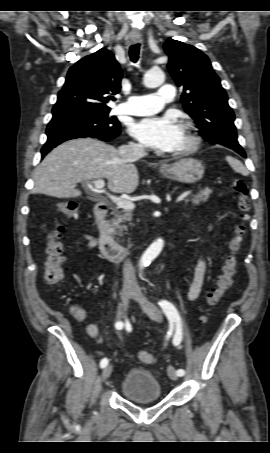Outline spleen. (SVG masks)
Returning a JSON list of instances; mask_svg holds the SVG:
<instances>
[{
    "label": "spleen",
    "mask_w": 270,
    "mask_h": 453,
    "mask_svg": "<svg viewBox=\"0 0 270 453\" xmlns=\"http://www.w3.org/2000/svg\"><path fill=\"white\" fill-rule=\"evenodd\" d=\"M226 160L230 164V166L233 168V170H235L236 172L241 173L243 175L246 174V172H247L246 168L243 166V164L239 160H237L231 156H227Z\"/></svg>",
    "instance_id": "1"
}]
</instances>
